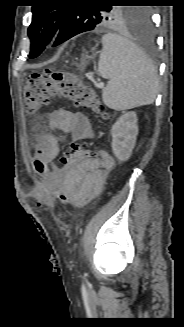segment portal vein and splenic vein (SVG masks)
Returning <instances> with one entry per match:
<instances>
[{"mask_svg": "<svg viewBox=\"0 0 184 327\" xmlns=\"http://www.w3.org/2000/svg\"><path fill=\"white\" fill-rule=\"evenodd\" d=\"M96 86H97V88H103L104 87V83H102V82L101 83H98Z\"/></svg>", "mask_w": 184, "mask_h": 327, "instance_id": "18ae733b", "label": "portal vein and splenic vein"}]
</instances>
